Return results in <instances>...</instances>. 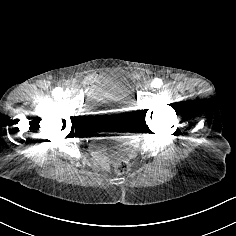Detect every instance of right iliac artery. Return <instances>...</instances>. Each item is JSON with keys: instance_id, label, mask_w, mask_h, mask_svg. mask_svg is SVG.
Listing matches in <instances>:
<instances>
[{"instance_id": "1", "label": "right iliac artery", "mask_w": 236, "mask_h": 236, "mask_svg": "<svg viewBox=\"0 0 236 236\" xmlns=\"http://www.w3.org/2000/svg\"><path fill=\"white\" fill-rule=\"evenodd\" d=\"M53 96L55 98H62L65 96V93L63 92V89L60 88V87H56L54 90H53Z\"/></svg>"}]
</instances>
